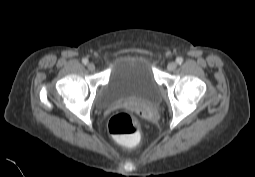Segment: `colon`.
Wrapping results in <instances>:
<instances>
[{
  "label": "colon",
  "mask_w": 255,
  "mask_h": 177,
  "mask_svg": "<svg viewBox=\"0 0 255 177\" xmlns=\"http://www.w3.org/2000/svg\"><path fill=\"white\" fill-rule=\"evenodd\" d=\"M109 132L125 145H135L140 137V127L137 119L128 112H118L113 115L108 124Z\"/></svg>",
  "instance_id": "1"
}]
</instances>
